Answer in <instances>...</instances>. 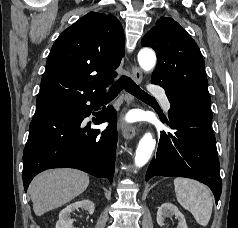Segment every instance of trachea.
<instances>
[{
    "label": "trachea",
    "instance_id": "1",
    "mask_svg": "<svg viewBox=\"0 0 238 228\" xmlns=\"http://www.w3.org/2000/svg\"><path fill=\"white\" fill-rule=\"evenodd\" d=\"M139 99H154L144 92L136 83L127 76H121L120 79L110 88L109 95L115 96L124 89Z\"/></svg>",
    "mask_w": 238,
    "mask_h": 228
}]
</instances>
